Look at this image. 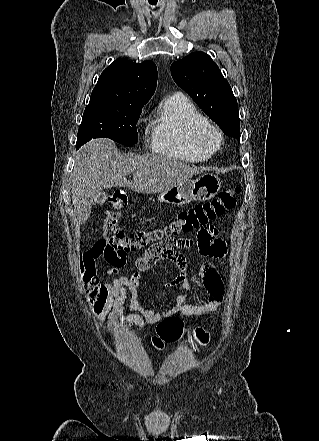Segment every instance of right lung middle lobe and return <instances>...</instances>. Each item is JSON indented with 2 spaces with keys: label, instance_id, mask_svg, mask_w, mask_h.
<instances>
[{
  "label": "right lung middle lobe",
  "instance_id": "dd1d6c3e",
  "mask_svg": "<svg viewBox=\"0 0 319 441\" xmlns=\"http://www.w3.org/2000/svg\"><path fill=\"white\" fill-rule=\"evenodd\" d=\"M143 106L96 104L85 108L76 149L92 138L107 137L125 146L138 142L136 123Z\"/></svg>",
  "mask_w": 319,
  "mask_h": 441
}]
</instances>
